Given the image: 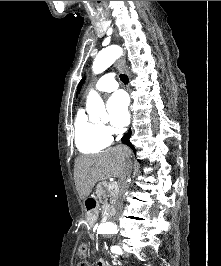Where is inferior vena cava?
Returning <instances> with one entry per match:
<instances>
[{
	"instance_id": "inferior-vena-cava-1",
	"label": "inferior vena cava",
	"mask_w": 221,
	"mask_h": 266,
	"mask_svg": "<svg viewBox=\"0 0 221 266\" xmlns=\"http://www.w3.org/2000/svg\"><path fill=\"white\" fill-rule=\"evenodd\" d=\"M131 168H132V164H131V161L128 159L126 161L124 173L120 178V183H119L120 191H118V192H124V190L126 189L127 182H128L129 177H130V174H131Z\"/></svg>"
}]
</instances>
